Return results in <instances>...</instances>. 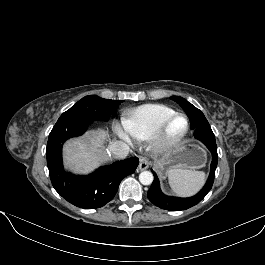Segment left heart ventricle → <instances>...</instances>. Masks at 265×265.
<instances>
[{"mask_svg": "<svg viewBox=\"0 0 265 265\" xmlns=\"http://www.w3.org/2000/svg\"><path fill=\"white\" fill-rule=\"evenodd\" d=\"M184 127H185L184 119L181 117H176L171 122V124L167 130V135L169 137L178 136L183 131Z\"/></svg>", "mask_w": 265, "mask_h": 265, "instance_id": "1", "label": "left heart ventricle"}]
</instances>
